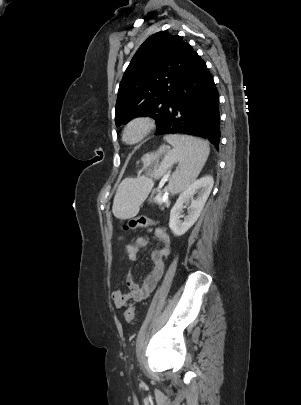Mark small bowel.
<instances>
[{
  "label": "small bowel",
  "instance_id": "small-bowel-1",
  "mask_svg": "<svg viewBox=\"0 0 301 405\" xmlns=\"http://www.w3.org/2000/svg\"><path fill=\"white\" fill-rule=\"evenodd\" d=\"M156 238L161 242L159 249L153 250L150 254L152 267L149 273L143 280L142 284H138L130 271L127 275V289L117 288L113 292V301L117 308H122L128 300L142 301L146 299L154 290L156 284L161 278L164 270V258L171 252V238L168 233L161 227L154 228ZM147 238L138 237L133 243L127 244L124 249L125 257L132 263L138 260L139 251L146 247Z\"/></svg>",
  "mask_w": 301,
  "mask_h": 405
}]
</instances>
